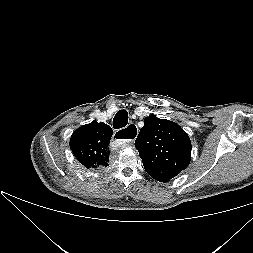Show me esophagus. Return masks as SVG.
Instances as JSON below:
<instances>
[{"label": "esophagus", "mask_w": 253, "mask_h": 253, "mask_svg": "<svg viewBox=\"0 0 253 253\" xmlns=\"http://www.w3.org/2000/svg\"><path fill=\"white\" fill-rule=\"evenodd\" d=\"M137 134V126L135 124H129L126 128L116 131L113 136L116 141L126 144L134 141Z\"/></svg>", "instance_id": "obj_1"}]
</instances>
